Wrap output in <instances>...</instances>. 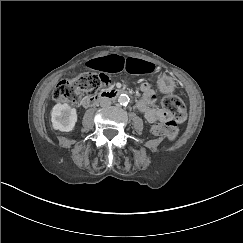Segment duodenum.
<instances>
[{
  "mask_svg": "<svg viewBox=\"0 0 243 243\" xmlns=\"http://www.w3.org/2000/svg\"><path fill=\"white\" fill-rule=\"evenodd\" d=\"M124 93L122 89L111 88L104 90L98 94L87 96L83 99L82 104L84 107H91L103 100H112Z\"/></svg>",
  "mask_w": 243,
  "mask_h": 243,
  "instance_id": "obj_1",
  "label": "duodenum"
}]
</instances>
